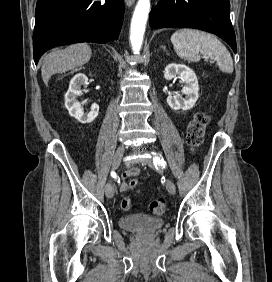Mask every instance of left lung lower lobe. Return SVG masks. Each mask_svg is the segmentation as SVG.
<instances>
[{"instance_id": "0a47b994", "label": "left lung lower lobe", "mask_w": 272, "mask_h": 282, "mask_svg": "<svg viewBox=\"0 0 272 282\" xmlns=\"http://www.w3.org/2000/svg\"><path fill=\"white\" fill-rule=\"evenodd\" d=\"M229 0H160L150 13L152 28H197L226 41L236 53Z\"/></svg>"}]
</instances>
